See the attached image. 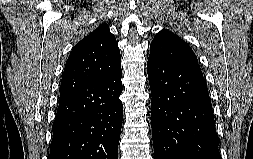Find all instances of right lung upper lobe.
Wrapping results in <instances>:
<instances>
[{
	"label": "right lung upper lobe",
	"mask_w": 253,
	"mask_h": 159,
	"mask_svg": "<svg viewBox=\"0 0 253 159\" xmlns=\"http://www.w3.org/2000/svg\"><path fill=\"white\" fill-rule=\"evenodd\" d=\"M119 69L121 57L116 38L106 24H101L70 53L62 76L60 99Z\"/></svg>",
	"instance_id": "obj_1"
}]
</instances>
